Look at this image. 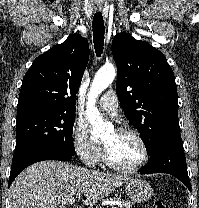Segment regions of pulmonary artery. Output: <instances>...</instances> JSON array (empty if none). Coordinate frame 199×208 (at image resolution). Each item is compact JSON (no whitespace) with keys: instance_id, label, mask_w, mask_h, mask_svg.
<instances>
[{"instance_id":"pulmonary-artery-1","label":"pulmonary artery","mask_w":199,"mask_h":208,"mask_svg":"<svg viewBox=\"0 0 199 208\" xmlns=\"http://www.w3.org/2000/svg\"><path fill=\"white\" fill-rule=\"evenodd\" d=\"M98 105L112 115H115L119 106L116 92L108 90L99 98Z\"/></svg>"}]
</instances>
